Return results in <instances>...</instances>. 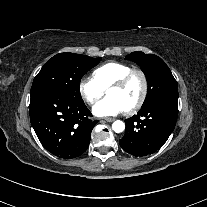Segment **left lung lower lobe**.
<instances>
[{
	"label": "left lung lower lobe",
	"instance_id": "obj_1",
	"mask_svg": "<svg viewBox=\"0 0 207 207\" xmlns=\"http://www.w3.org/2000/svg\"><path fill=\"white\" fill-rule=\"evenodd\" d=\"M178 114V95H165L125 120L121 147L131 155L146 156L160 149L172 133Z\"/></svg>",
	"mask_w": 207,
	"mask_h": 207
}]
</instances>
